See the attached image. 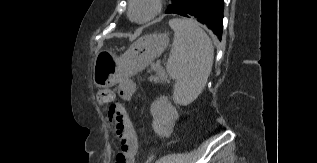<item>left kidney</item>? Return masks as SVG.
<instances>
[{
  "label": "left kidney",
  "instance_id": "1",
  "mask_svg": "<svg viewBox=\"0 0 317 163\" xmlns=\"http://www.w3.org/2000/svg\"><path fill=\"white\" fill-rule=\"evenodd\" d=\"M150 112L154 132L160 137H169L178 119V112L168 97L162 96L154 101L150 106Z\"/></svg>",
  "mask_w": 317,
  "mask_h": 163
}]
</instances>
